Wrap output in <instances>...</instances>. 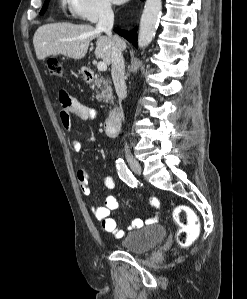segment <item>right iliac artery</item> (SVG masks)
Listing matches in <instances>:
<instances>
[{
    "label": "right iliac artery",
    "mask_w": 247,
    "mask_h": 299,
    "mask_svg": "<svg viewBox=\"0 0 247 299\" xmlns=\"http://www.w3.org/2000/svg\"><path fill=\"white\" fill-rule=\"evenodd\" d=\"M116 163L120 179H122L126 184H128L132 188L137 187V181L128 169L126 163L122 159H118Z\"/></svg>",
    "instance_id": "1"
}]
</instances>
